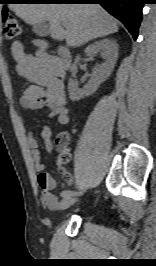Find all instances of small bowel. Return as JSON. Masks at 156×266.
Wrapping results in <instances>:
<instances>
[{
	"instance_id": "c3829d8e",
	"label": "small bowel",
	"mask_w": 156,
	"mask_h": 266,
	"mask_svg": "<svg viewBox=\"0 0 156 266\" xmlns=\"http://www.w3.org/2000/svg\"><path fill=\"white\" fill-rule=\"evenodd\" d=\"M11 53L18 74L31 82L20 98L21 106L29 110L46 108L49 110L50 118L57 119L61 124H67L69 112L66 107L64 84L56 74L55 58L45 50H39L33 55L29 54L21 42L12 44ZM36 130L41 131L47 152H51L53 148L51 130L46 125L36 124L27 135V144L38 173L37 183L42 192V200L48 208L56 209L60 206L59 200L54 194L56 182L49 173L44 171L45 165L41 162V153L35 137ZM63 175L66 182L71 184V175L66 171L63 172Z\"/></svg>"
}]
</instances>
